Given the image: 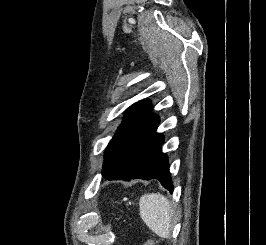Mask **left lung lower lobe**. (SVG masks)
Instances as JSON below:
<instances>
[{"label":"left lung lower lobe","mask_w":266,"mask_h":245,"mask_svg":"<svg viewBox=\"0 0 266 245\" xmlns=\"http://www.w3.org/2000/svg\"><path fill=\"white\" fill-rule=\"evenodd\" d=\"M157 126L149 132L141 141L136 158L128 172L118 175L109 180L130 179H158L162 186L171 193L173 185L169 173L168 159L161 151L163 136L155 133Z\"/></svg>","instance_id":"obj_1"}]
</instances>
